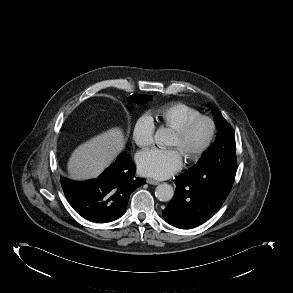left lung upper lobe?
Returning <instances> with one entry per match:
<instances>
[{"instance_id":"1","label":"left lung upper lobe","mask_w":293,"mask_h":293,"mask_svg":"<svg viewBox=\"0 0 293 293\" xmlns=\"http://www.w3.org/2000/svg\"><path fill=\"white\" fill-rule=\"evenodd\" d=\"M214 115L218 132L215 142L204 152L194 168H217L236 163V144L234 130L224 119L220 111L213 105H208Z\"/></svg>"}]
</instances>
